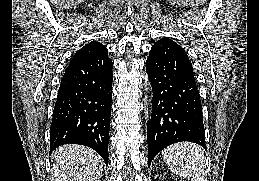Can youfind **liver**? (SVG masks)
<instances>
[{
	"label": "liver",
	"mask_w": 259,
	"mask_h": 181,
	"mask_svg": "<svg viewBox=\"0 0 259 181\" xmlns=\"http://www.w3.org/2000/svg\"><path fill=\"white\" fill-rule=\"evenodd\" d=\"M52 158L53 181H99L102 176L103 159L86 146L66 144Z\"/></svg>",
	"instance_id": "1"
}]
</instances>
